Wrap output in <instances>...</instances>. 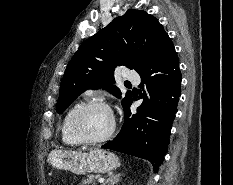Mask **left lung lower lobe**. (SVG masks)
Instances as JSON below:
<instances>
[{
    "label": "left lung lower lobe",
    "instance_id": "left-lung-lower-lobe-1",
    "mask_svg": "<svg viewBox=\"0 0 233 185\" xmlns=\"http://www.w3.org/2000/svg\"><path fill=\"white\" fill-rule=\"evenodd\" d=\"M143 103L132 114L130 105L124 111L121 131L103 148L146 159L157 171L166 154L172 123L181 96V72L174 45L169 37L162 42L149 64L139 73Z\"/></svg>",
    "mask_w": 233,
    "mask_h": 185
}]
</instances>
